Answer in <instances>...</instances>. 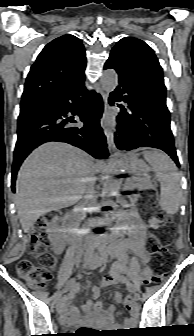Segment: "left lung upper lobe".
<instances>
[{"label":"left lung upper lobe","mask_w":194,"mask_h":336,"mask_svg":"<svg viewBox=\"0 0 194 336\" xmlns=\"http://www.w3.org/2000/svg\"><path fill=\"white\" fill-rule=\"evenodd\" d=\"M110 56L148 95L166 103L162 68L153 50L145 42L133 37L122 38L112 49Z\"/></svg>","instance_id":"1"}]
</instances>
